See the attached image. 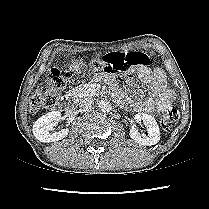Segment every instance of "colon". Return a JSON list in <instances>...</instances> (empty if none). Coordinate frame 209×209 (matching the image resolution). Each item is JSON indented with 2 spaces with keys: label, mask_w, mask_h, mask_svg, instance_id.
Here are the masks:
<instances>
[{
  "label": "colon",
  "mask_w": 209,
  "mask_h": 209,
  "mask_svg": "<svg viewBox=\"0 0 209 209\" xmlns=\"http://www.w3.org/2000/svg\"><path fill=\"white\" fill-rule=\"evenodd\" d=\"M153 53L132 52L112 53L101 57L98 61L87 64L88 70H104L105 72H129L133 67L148 65L155 61ZM72 75L69 71L53 68L46 79H42L35 90L31 101V111L38 112L56 106L61 93L67 88ZM179 112L176 108H169L163 115L161 126L163 133L178 121Z\"/></svg>",
  "instance_id": "colon-1"
}]
</instances>
